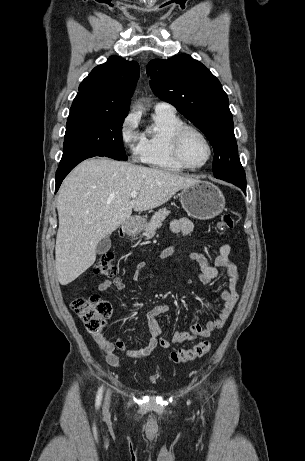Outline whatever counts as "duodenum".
Segmentation results:
<instances>
[{
    "instance_id": "duodenum-1",
    "label": "duodenum",
    "mask_w": 305,
    "mask_h": 461,
    "mask_svg": "<svg viewBox=\"0 0 305 461\" xmlns=\"http://www.w3.org/2000/svg\"><path fill=\"white\" fill-rule=\"evenodd\" d=\"M135 224V219H129L123 226V233L128 234L135 227Z\"/></svg>"
}]
</instances>
